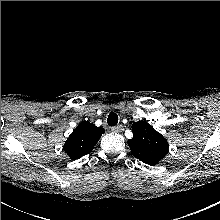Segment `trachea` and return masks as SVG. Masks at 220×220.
Instances as JSON below:
<instances>
[{
    "mask_svg": "<svg viewBox=\"0 0 220 220\" xmlns=\"http://www.w3.org/2000/svg\"><path fill=\"white\" fill-rule=\"evenodd\" d=\"M107 123L109 126H116L118 124V116L114 112H110L107 118Z\"/></svg>",
    "mask_w": 220,
    "mask_h": 220,
    "instance_id": "3493384b",
    "label": "trachea"
}]
</instances>
